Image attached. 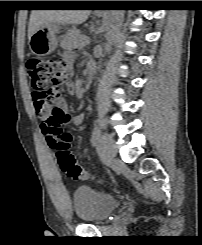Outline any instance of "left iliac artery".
I'll return each instance as SVG.
<instances>
[{"mask_svg":"<svg viewBox=\"0 0 202 245\" xmlns=\"http://www.w3.org/2000/svg\"><path fill=\"white\" fill-rule=\"evenodd\" d=\"M99 136H100V127L97 125L94 128L92 139H91V143L93 146H95L97 144V142L99 140Z\"/></svg>","mask_w":202,"mask_h":245,"instance_id":"obj_1","label":"left iliac artery"}]
</instances>
